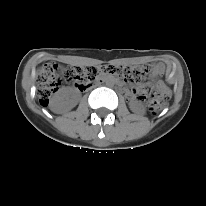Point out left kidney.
I'll list each match as a JSON object with an SVG mask.
<instances>
[{
	"instance_id": "1",
	"label": "left kidney",
	"mask_w": 206,
	"mask_h": 206,
	"mask_svg": "<svg viewBox=\"0 0 206 206\" xmlns=\"http://www.w3.org/2000/svg\"><path fill=\"white\" fill-rule=\"evenodd\" d=\"M130 108L133 112H142L143 111V105L137 101H134L130 104Z\"/></svg>"
}]
</instances>
